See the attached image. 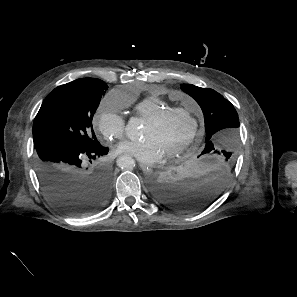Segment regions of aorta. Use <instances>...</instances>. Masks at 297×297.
Masks as SVG:
<instances>
[{
    "instance_id": "762f6f07",
    "label": "aorta",
    "mask_w": 297,
    "mask_h": 297,
    "mask_svg": "<svg viewBox=\"0 0 297 297\" xmlns=\"http://www.w3.org/2000/svg\"><path fill=\"white\" fill-rule=\"evenodd\" d=\"M125 133L126 136L132 141L139 139L141 135L140 120L134 117L130 118L126 125ZM117 165L122 169H132L135 167V161L132 157L124 155L117 160Z\"/></svg>"
}]
</instances>
